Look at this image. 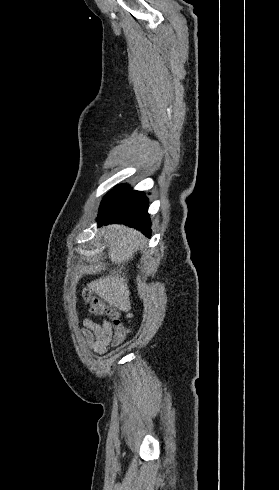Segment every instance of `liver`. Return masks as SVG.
Here are the masks:
<instances>
[{
    "mask_svg": "<svg viewBox=\"0 0 279 490\" xmlns=\"http://www.w3.org/2000/svg\"><path fill=\"white\" fill-rule=\"evenodd\" d=\"M101 236H104L108 244L110 262H113L119 270H112L111 274L90 282L88 288L108 302L110 306H116L123 312H128L131 308L130 290L128 280L121 270H125L126 264H129L134 258V252L143 248L146 238L137 230L127 228V226H106L104 230H101Z\"/></svg>",
    "mask_w": 279,
    "mask_h": 490,
    "instance_id": "obj_1",
    "label": "liver"
}]
</instances>
